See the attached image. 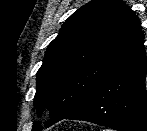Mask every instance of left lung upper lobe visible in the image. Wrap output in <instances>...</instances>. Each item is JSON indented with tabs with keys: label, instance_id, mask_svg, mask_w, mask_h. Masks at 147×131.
<instances>
[{
	"label": "left lung upper lobe",
	"instance_id": "1",
	"mask_svg": "<svg viewBox=\"0 0 147 131\" xmlns=\"http://www.w3.org/2000/svg\"><path fill=\"white\" fill-rule=\"evenodd\" d=\"M143 43L139 19L122 0H93L73 13L49 44L37 72L34 105L53 114L45 127L77 111ZM36 129L42 130L41 125Z\"/></svg>",
	"mask_w": 147,
	"mask_h": 131
}]
</instances>
